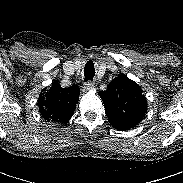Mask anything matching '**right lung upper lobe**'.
Here are the masks:
<instances>
[{
    "instance_id": "right-lung-upper-lobe-1",
    "label": "right lung upper lobe",
    "mask_w": 183,
    "mask_h": 183,
    "mask_svg": "<svg viewBox=\"0 0 183 183\" xmlns=\"http://www.w3.org/2000/svg\"><path fill=\"white\" fill-rule=\"evenodd\" d=\"M79 93L80 89L76 85L62 88L57 81L53 82L46 92L39 95L38 105L42 117L57 123L68 122L74 113Z\"/></svg>"
}]
</instances>
